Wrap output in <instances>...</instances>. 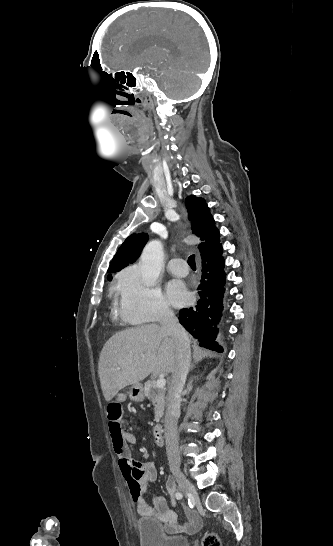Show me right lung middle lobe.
<instances>
[{
	"label": "right lung middle lobe",
	"mask_w": 333,
	"mask_h": 546,
	"mask_svg": "<svg viewBox=\"0 0 333 546\" xmlns=\"http://www.w3.org/2000/svg\"><path fill=\"white\" fill-rule=\"evenodd\" d=\"M112 273H115V272H112ZM108 280H109V281L112 280V276H111V275H108Z\"/></svg>",
	"instance_id": "dd1d6c3e"
}]
</instances>
